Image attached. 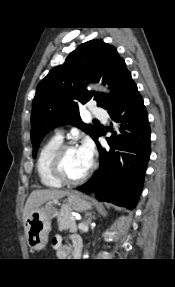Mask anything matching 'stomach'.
Here are the masks:
<instances>
[{
  "mask_svg": "<svg viewBox=\"0 0 175 287\" xmlns=\"http://www.w3.org/2000/svg\"><path fill=\"white\" fill-rule=\"evenodd\" d=\"M66 206L70 210L84 211L91 207L87 198L79 192H69L66 199ZM55 214L52 203L32 210L24 220L25 238L31 250H42L47 242L51 231V219Z\"/></svg>",
  "mask_w": 175,
  "mask_h": 287,
  "instance_id": "obj_1",
  "label": "stomach"
}]
</instances>
